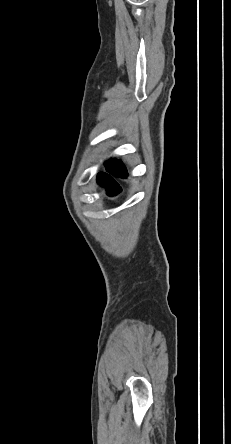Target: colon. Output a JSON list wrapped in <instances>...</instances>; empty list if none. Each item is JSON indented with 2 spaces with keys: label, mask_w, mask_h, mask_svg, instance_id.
Instances as JSON below:
<instances>
[{
  "label": "colon",
  "mask_w": 231,
  "mask_h": 444,
  "mask_svg": "<svg viewBox=\"0 0 231 444\" xmlns=\"http://www.w3.org/2000/svg\"><path fill=\"white\" fill-rule=\"evenodd\" d=\"M123 176L120 164L118 162H110L106 171L99 175V180L105 182L110 189V195H116L119 192L118 184L115 178H120Z\"/></svg>",
  "instance_id": "1"
}]
</instances>
